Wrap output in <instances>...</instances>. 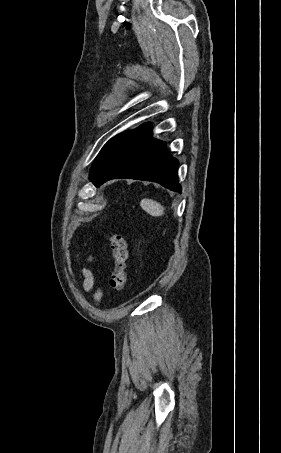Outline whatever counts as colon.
<instances>
[{
  "mask_svg": "<svg viewBox=\"0 0 281 453\" xmlns=\"http://www.w3.org/2000/svg\"><path fill=\"white\" fill-rule=\"evenodd\" d=\"M113 266L110 273V289L114 294H121L126 288L128 249L123 235L110 236Z\"/></svg>",
  "mask_w": 281,
  "mask_h": 453,
  "instance_id": "5ec220e1",
  "label": "colon"
}]
</instances>
